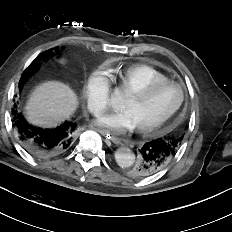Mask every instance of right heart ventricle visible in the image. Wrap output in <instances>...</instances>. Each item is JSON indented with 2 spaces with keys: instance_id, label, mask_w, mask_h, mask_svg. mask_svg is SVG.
Returning <instances> with one entry per match:
<instances>
[{
  "instance_id": "1",
  "label": "right heart ventricle",
  "mask_w": 232,
  "mask_h": 232,
  "mask_svg": "<svg viewBox=\"0 0 232 232\" xmlns=\"http://www.w3.org/2000/svg\"><path fill=\"white\" fill-rule=\"evenodd\" d=\"M107 75L109 81L127 94L153 82L168 80L163 73L145 64H135L123 69L109 68Z\"/></svg>"
}]
</instances>
